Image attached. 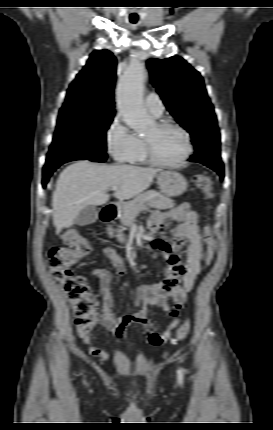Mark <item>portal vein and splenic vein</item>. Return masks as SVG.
<instances>
[{"mask_svg": "<svg viewBox=\"0 0 273 430\" xmlns=\"http://www.w3.org/2000/svg\"><path fill=\"white\" fill-rule=\"evenodd\" d=\"M112 190L117 191V190H118V187H117V186H113V187H112Z\"/></svg>", "mask_w": 273, "mask_h": 430, "instance_id": "portal-vein-and-splenic-vein-1", "label": "portal vein and splenic vein"}]
</instances>
